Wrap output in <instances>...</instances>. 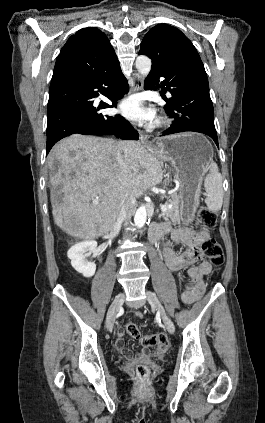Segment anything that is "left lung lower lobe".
Returning a JSON list of instances; mask_svg holds the SVG:
<instances>
[{
    "label": "left lung lower lobe",
    "instance_id": "left-lung-lower-lobe-1",
    "mask_svg": "<svg viewBox=\"0 0 265 423\" xmlns=\"http://www.w3.org/2000/svg\"><path fill=\"white\" fill-rule=\"evenodd\" d=\"M164 77L160 87L172 97L167 101L166 113L173 124L161 136L193 131L210 136L218 146L214 125V110L209 94L208 78L195 48L188 47L169 58L162 65L152 67L145 81V89H153Z\"/></svg>",
    "mask_w": 265,
    "mask_h": 423
}]
</instances>
